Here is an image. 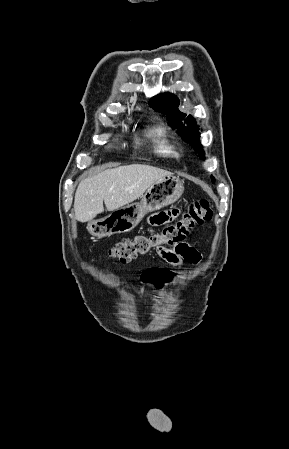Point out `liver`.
Returning <instances> with one entry per match:
<instances>
[{"label":"liver","mask_w":289,"mask_h":449,"mask_svg":"<svg viewBox=\"0 0 289 449\" xmlns=\"http://www.w3.org/2000/svg\"><path fill=\"white\" fill-rule=\"evenodd\" d=\"M171 172L144 164H133L106 170L84 179L78 185L74 199L75 218L91 221L104 211L117 210L140 198L156 181Z\"/></svg>","instance_id":"6515ba94"}]
</instances>
